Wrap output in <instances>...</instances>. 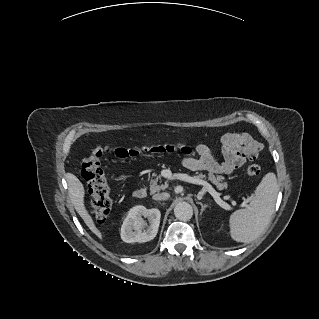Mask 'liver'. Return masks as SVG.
<instances>
[{
	"label": "liver",
	"instance_id": "liver-1",
	"mask_svg": "<svg viewBox=\"0 0 319 319\" xmlns=\"http://www.w3.org/2000/svg\"><path fill=\"white\" fill-rule=\"evenodd\" d=\"M67 181L69 186V193L71 197V201L74 205V208L76 209L77 213L80 215V217L83 219L84 223L87 225V227L98 237L102 238V233L100 230L96 227L92 216L88 213L84 197H85V191L83 184L80 182V180L73 174L69 173L67 175Z\"/></svg>",
	"mask_w": 319,
	"mask_h": 319
}]
</instances>
